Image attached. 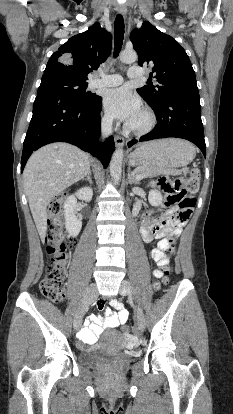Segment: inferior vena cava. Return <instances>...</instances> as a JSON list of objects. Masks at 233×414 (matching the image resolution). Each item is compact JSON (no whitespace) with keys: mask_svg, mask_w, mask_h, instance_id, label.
<instances>
[{"mask_svg":"<svg viewBox=\"0 0 233 414\" xmlns=\"http://www.w3.org/2000/svg\"><path fill=\"white\" fill-rule=\"evenodd\" d=\"M102 139L108 137L112 131V119H106L102 122Z\"/></svg>","mask_w":233,"mask_h":414,"instance_id":"inferior-vena-cava-1","label":"inferior vena cava"}]
</instances>
